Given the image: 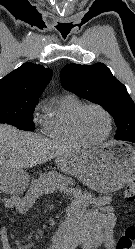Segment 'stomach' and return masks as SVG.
Instances as JSON below:
<instances>
[{
  "label": "stomach",
  "instance_id": "1",
  "mask_svg": "<svg viewBox=\"0 0 135 249\" xmlns=\"http://www.w3.org/2000/svg\"><path fill=\"white\" fill-rule=\"evenodd\" d=\"M56 164L61 171L78 178L89 188L111 193L121 189L135 170V149L124 143H104L58 157ZM47 176L52 185L58 183V175ZM4 181L11 182L21 191L27 186L29 177L21 169H11L6 171Z\"/></svg>",
  "mask_w": 135,
  "mask_h": 249
}]
</instances>
